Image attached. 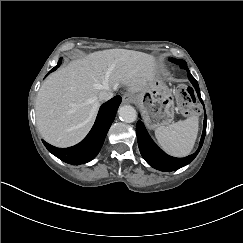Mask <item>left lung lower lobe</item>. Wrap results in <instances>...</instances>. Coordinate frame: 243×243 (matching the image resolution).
<instances>
[{"mask_svg": "<svg viewBox=\"0 0 243 243\" xmlns=\"http://www.w3.org/2000/svg\"><path fill=\"white\" fill-rule=\"evenodd\" d=\"M180 66H181V68L185 69L188 72V78H189L190 82L192 83L193 87L195 88L199 99L202 102L198 82L189 72L187 64L185 63ZM202 104H203V102H202ZM206 123H207V117L205 114L204 128H203V133H202V137H201V141H200L198 150L194 154L189 155L188 157L175 158V157H171V156L167 155L166 153H164L152 141V139L150 138L149 134L147 133V131L144 127V124L141 121H138L137 125H136V134H137L138 145H139V149H140L142 157L145 159V161L150 166H152L153 168L160 170V171H175V170L180 169L181 167H184L185 165H187L191 161H193L194 158L199 153V151L202 147L204 138H205V134H206Z\"/></svg>", "mask_w": 243, "mask_h": 243, "instance_id": "0a47b994", "label": "left lung lower lobe"}]
</instances>
